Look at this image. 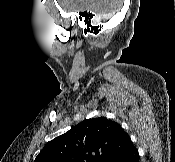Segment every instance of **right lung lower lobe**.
Returning a JSON list of instances; mask_svg holds the SVG:
<instances>
[{
	"label": "right lung lower lobe",
	"mask_w": 175,
	"mask_h": 162,
	"mask_svg": "<svg viewBox=\"0 0 175 162\" xmlns=\"http://www.w3.org/2000/svg\"><path fill=\"white\" fill-rule=\"evenodd\" d=\"M111 162H139L138 151L133 146L128 151L116 156Z\"/></svg>",
	"instance_id": "right-lung-lower-lobe-1"
}]
</instances>
